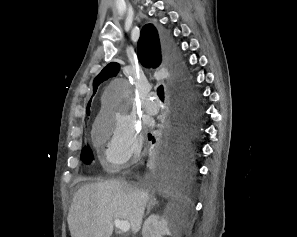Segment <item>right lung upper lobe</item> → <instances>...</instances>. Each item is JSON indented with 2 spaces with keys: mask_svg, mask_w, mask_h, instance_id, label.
I'll list each match as a JSON object with an SVG mask.
<instances>
[{
  "mask_svg": "<svg viewBox=\"0 0 297 237\" xmlns=\"http://www.w3.org/2000/svg\"><path fill=\"white\" fill-rule=\"evenodd\" d=\"M138 56L143 65L158 66L162 61L167 60L163 36H159L156 28L152 24L145 25L141 30L140 39L138 41ZM119 68V64L116 62L108 64L94 79V93L99 84L117 75ZM90 103L91 100L87 107L88 115L90 113Z\"/></svg>",
  "mask_w": 297,
  "mask_h": 237,
  "instance_id": "obj_1",
  "label": "right lung upper lobe"
}]
</instances>
